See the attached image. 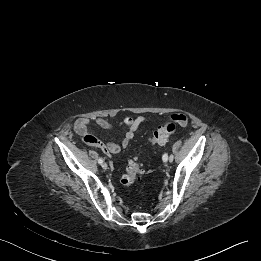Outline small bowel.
I'll list each match as a JSON object with an SVG mask.
<instances>
[{"mask_svg": "<svg viewBox=\"0 0 261 261\" xmlns=\"http://www.w3.org/2000/svg\"><path fill=\"white\" fill-rule=\"evenodd\" d=\"M173 116H183L186 117L184 114H173ZM187 118V117H186ZM147 121V118L144 116H138V117H130L126 116L124 117L120 124L123 125V140L120 143L115 142H103L98 137L93 135L89 131V125L91 123V120L88 118H78L74 122V129L75 131L81 136L82 140L90 146L99 148L102 150L105 154H116L119 153L122 149L126 148L130 141L134 138V135L137 131V129L144 124ZM95 124L104 129V130H113L114 126L112 123H110L108 120L104 118H96L94 120ZM185 126V125H181Z\"/></svg>", "mask_w": 261, "mask_h": 261, "instance_id": "obj_1", "label": "small bowel"}]
</instances>
